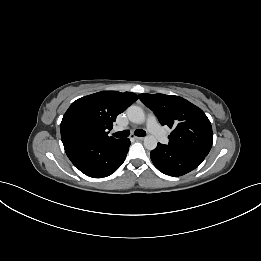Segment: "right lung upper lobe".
<instances>
[{"mask_svg": "<svg viewBox=\"0 0 261 261\" xmlns=\"http://www.w3.org/2000/svg\"><path fill=\"white\" fill-rule=\"evenodd\" d=\"M138 96L132 92L101 91L74 101L61 121V139L63 144L76 140H114L108 133L112 129L116 116L125 111ZM79 129L80 139L72 137Z\"/></svg>", "mask_w": 261, "mask_h": 261, "instance_id": "right-lung-upper-lobe-1", "label": "right lung upper lobe"}]
</instances>
